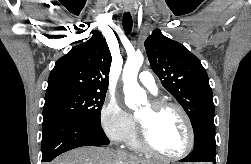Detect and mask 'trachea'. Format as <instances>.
I'll return each mask as SVG.
<instances>
[{
	"instance_id": "3493384b",
	"label": "trachea",
	"mask_w": 251,
	"mask_h": 164,
	"mask_svg": "<svg viewBox=\"0 0 251 164\" xmlns=\"http://www.w3.org/2000/svg\"><path fill=\"white\" fill-rule=\"evenodd\" d=\"M122 23L124 31L127 34H130L133 26V20L129 12L124 13Z\"/></svg>"
}]
</instances>
